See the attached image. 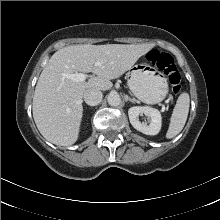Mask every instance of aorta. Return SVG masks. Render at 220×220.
Listing matches in <instances>:
<instances>
[{"instance_id": "obj_1", "label": "aorta", "mask_w": 220, "mask_h": 220, "mask_svg": "<svg viewBox=\"0 0 220 220\" xmlns=\"http://www.w3.org/2000/svg\"><path fill=\"white\" fill-rule=\"evenodd\" d=\"M107 102L110 106H119L121 104L120 95L116 92L110 93L107 96Z\"/></svg>"}]
</instances>
